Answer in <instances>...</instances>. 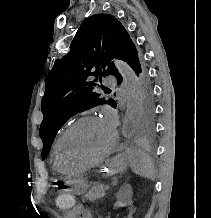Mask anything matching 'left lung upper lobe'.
<instances>
[{
    "label": "left lung upper lobe",
    "instance_id": "1",
    "mask_svg": "<svg viewBox=\"0 0 211 218\" xmlns=\"http://www.w3.org/2000/svg\"><path fill=\"white\" fill-rule=\"evenodd\" d=\"M113 58L123 60L137 75L140 74L143 91L141 120L146 129H152L154 105L142 54L113 15L94 14L83 22L70 44L69 53L55 61L47 76L41 104L44 119L39 132L43 141L42 159L49 152L58 130L71 116L98 104L116 107L115 100L99 98L101 94L95 88L98 78L92 80L95 76L101 82L102 76L113 75L121 84L122 76L110 62ZM101 88L106 94L110 92L107 87Z\"/></svg>",
    "mask_w": 211,
    "mask_h": 218
}]
</instances>
